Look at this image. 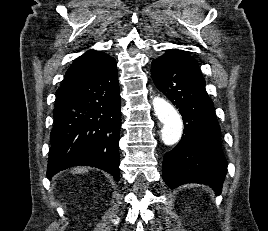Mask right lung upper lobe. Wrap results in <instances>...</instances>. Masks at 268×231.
<instances>
[{"label": "right lung upper lobe", "mask_w": 268, "mask_h": 231, "mask_svg": "<svg viewBox=\"0 0 268 231\" xmlns=\"http://www.w3.org/2000/svg\"><path fill=\"white\" fill-rule=\"evenodd\" d=\"M113 58L96 50H89L78 57L67 70L62 87L57 93H67L74 85L91 77L106 66Z\"/></svg>", "instance_id": "obj_1"}]
</instances>
